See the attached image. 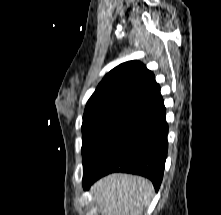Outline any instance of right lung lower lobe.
<instances>
[{"mask_svg":"<svg viewBox=\"0 0 221 215\" xmlns=\"http://www.w3.org/2000/svg\"><path fill=\"white\" fill-rule=\"evenodd\" d=\"M162 96L136 109L107 139L83 171V188L100 177L126 172L150 179L158 191L167 157L168 125Z\"/></svg>","mask_w":221,"mask_h":215,"instance_id":"1","label":"right lung lower lobe"}]
</instances>
